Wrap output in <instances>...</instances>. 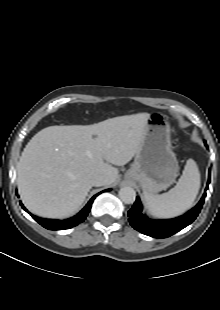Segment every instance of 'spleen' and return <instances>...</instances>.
<instances>
[{
	"instance_id": "1",
	"label": "spleen",
	"mask_w": 220,
	"mask_h": 310,
	"mask_svg": "<svg viewBox=\"0 0 220 310\" xmlns=\"http://www.w3.org/2000/svg\"><path fill=\"white\" fill-rule=\"evenodd\" d=\"M200 189V173L194 160L186 162L175 187L161 195L144 192L150 213L158 218H173L191 208Z\"/></svg>"
}]
</instances>
